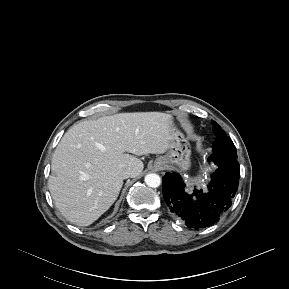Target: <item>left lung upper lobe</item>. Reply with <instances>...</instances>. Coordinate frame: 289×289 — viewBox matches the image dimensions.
Returning <instances> with one entry per match:
<instances>
[{"mask_svg": "<svg viewBox=\"0 0 289 289\" xmlns=\"http://www.w3.org/2000/svg\"><path fill=\"white\" fill-rule=\"evenodd\" d=\"M212 123L214 126L213 131L216 135V139L212 145V154L221 159L226 157H237L236 149L232 140L215 121H212Z\"/></svg>", "mask_w": 289, "mask_h": 289, "instance_id": "1", "label": "left lung upper lobe"}]
</instances>
